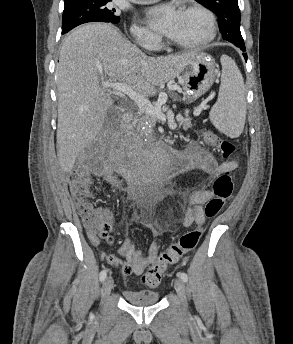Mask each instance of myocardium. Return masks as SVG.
Segmentation results:
<instances>
[{"label": "myocardium", "mask_w": 293, "mask_h": 344, "mask_svg": "<svg viewBox=\"0 0 293 344\" xmlns=\"http://www.w3.org/2000/svg\"><path fill=\"white\" fill-rule=\"evenodd\" d=\"M180 11H197L204 15L207 21V33L200 39L191 42H180L168 39V44L179 49H197L211 43L217 35V21L215 14L206 6L199 3H190L181 8Z\"/></svg>", "instance_id": "f54148a6"}]
</instances>
